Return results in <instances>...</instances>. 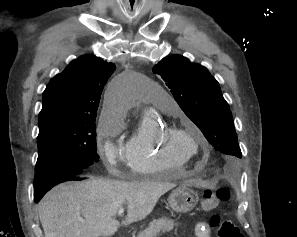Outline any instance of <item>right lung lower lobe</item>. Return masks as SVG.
<instances>
[{
    "label": "right lung lower lobe",
    "mask_w": 297,
    "mask_h": 237,
    "mask_svg": "<svg viewBox=\"0 0 297 237\" xmlns=\"http://www.w3.org/2000/svg\"><path fill=\"white\" fill-rule=\"evenodd\" d=\"M84 174L83 171H79L77 169H68V170H62L56 173L54 176L52 183L49 186H46L43 189H37L34 188V200L37 202L39 201L45 194L48 192L52 187L55 185L71 181V180H82L84 179L82 175Z\"/></svg>",
    "instance_id": "1"
}]
</instances>
